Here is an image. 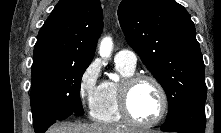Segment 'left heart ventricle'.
Returning a JSON list of instances; mask_svg holds the SVG:
<instances>
[{"mask_svg":"<svg viewBox=\"0 0 221 133\" xmlns=\"http://www.w3.org/2000/svg\"><path fill=\"white\" fill-rule=\"evenodd\" d=\"M161 108V98L155 85L150 81L136 84L130 95V109L140 121L154 119Z\"/></svg>","mask_w":221,"mask_h":133,"instance_id":"b2bd125f","label":"left heart ventricle"}]
</instances>
